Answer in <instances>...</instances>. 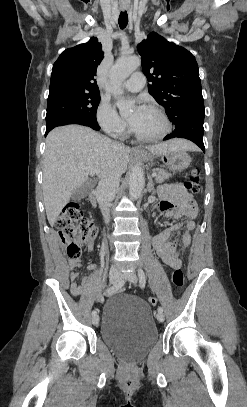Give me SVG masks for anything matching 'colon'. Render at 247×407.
I'll return each instance as SVG.
<instances>
[{
    "mask_svg": "<svg viewBox=\"0 0 247 407\" xmlns=\"http://www.w3.org/2000/svg\"><path fill=\"white\" fill-rule=\"evenodd\" d=\"M185 189L190 193H198L200 189V172L193 168L184 182ZM56 228L66 253L71 258H78L81 255L83 243L91 240L95 233V225L84 217V210L79 201H71L61 211ZM172 283L181 287L184 283V276L181 268H174L171 274ZM149 303L155 305L157 299L149 298Z\"/></svg>",
    "mask_w": 247,
    "mask_h": 407,
    "instance_id": "obj_1",
    "label": "colon"
}]
</instances>
